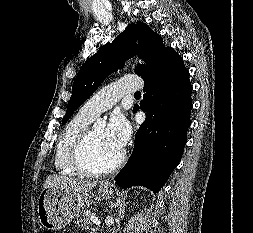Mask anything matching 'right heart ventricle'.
Returning <instances> with one entry per match:
<instances>
[{
	"instance_id": "1",
	"label": "right heart ventricle",
	"mask_w": 253,
	"mask_h": 233,
	"mask_svg": "<svg viewBox=\"0 0 253 233\" xmlns=\"http://www.w3.org/2000/svg\"><path fill=\"white\" fill-rule=\"evenodd\" d=\"M92 117L81 114L75 115L62 130L54 154L55 170L64 176L81 175L72 165L73 148L80 137L86 132Z\"/></svg>"
}]
</instances>
